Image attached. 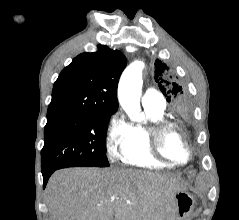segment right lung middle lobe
<instances>
[{
  "label": "right lung middle lobe",
  "instance_id": "dd1d6c3e",
  "mask_svg": "<svg viewBox=\"0 0 239 220\" xmlns=\"http://www.w3.org/2000/svg\"><path fill=\"white\" fill-rule=\"evenodd\" d=\"M113 113L47 116L42 174L65 167H107L106 133Z\"/></svg>",
  "mask_w": 239,
  "mask_h": 220
}]
</instances>
